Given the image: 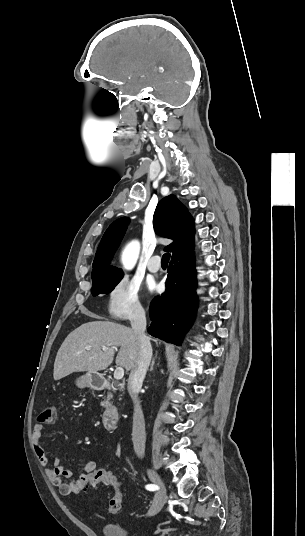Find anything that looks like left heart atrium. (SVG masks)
<instances>
[{
	"instance_id": "1",
	"label": "left heart atrium",
	"mask_w": 305,
	"mask_h": 536,
	"mask_svg": "<svg viewBox=\"0 0 305 536\" xmlns=\"http://www.w3.org/2000/svg\"><path fill=\"white\" fill-rule=\"evenodd\" d=\"M150 289H151V290H157V289H158V286H157L156 284L153 283V284L150 285Z\"/></svg>"
}]
</instances>
